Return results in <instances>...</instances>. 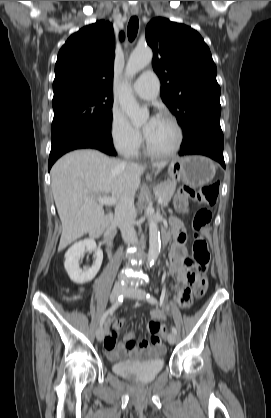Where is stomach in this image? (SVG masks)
<instances>
[{
	"instance_id": "stomach-1",
	"label": "stomach",
	"mask_w": 271,
	"mask_h": 418,
	"mask_svg": "<svg viewBox=\"0 0 271 418\" xmlns=\"http://www.w3.org/2000/svg\"><path fill=\"white\" fill-rule=\"evenodd\" d=\"M215 173V164L204 156L175 158L168 164V174L172 180H181L193 187L209 183Z\"/></svg>"
}]
</instances>
